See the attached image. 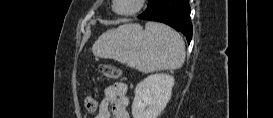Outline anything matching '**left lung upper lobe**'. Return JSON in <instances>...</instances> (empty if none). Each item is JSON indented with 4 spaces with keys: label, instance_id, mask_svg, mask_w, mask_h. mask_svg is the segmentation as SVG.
<instances>
[{
    "label": "left lung upper lobe",
    "instance_id": "5c2ea615",
    "mask_svg": "<svg viewBox=\"0 0 273 118\" xmlns=\"http://www.w3.org/2000/svg\"><path fill=\"white\" fill-rule=\"evenodd\" d=\"M162 1L163 0H149L147 9L139 16V18L153 12L162 3Z\"/></svg>",
    "mask_w": 273,
    "mask_h": 118
}]
</instances>
